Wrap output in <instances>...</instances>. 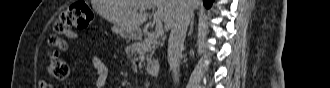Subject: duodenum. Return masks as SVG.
Wrapping results in <instances>:
<instances>
[{
  "instance_id": "410a0bca",
  "label": "duodenum",
  "mask_w": 330,
  "mask_h": 88,
  "mask_svg": "<svg viewBox=\"0 0 330 88\" xmlns=\"http://www.w3.org/2000/svg\"><path fill=\"white\" fill-rule=\"evenodd\" d=\"M133 39H138L140 38V35L139 34H134L133 36ZM147 72L152 75V76H156L158 75V73L160 72V69H161V65L160 63L158 62H149L147 64Z\"/></svg>"
}]
</instances>
